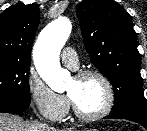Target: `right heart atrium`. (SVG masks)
<instances>
[{
  "label": "right heart atrium",
  "instance_id": "obj_1",
  "mask_svg": "<svg viewBox=\"0 0 147 131\" xmlns=\"http://www.w3.org/2000/svg\"><path fill=\"white\" fill-rule=\"evenodd\" d=\"M27 87L33 105L43 117L56 122L66 116L70 107L68 98L51 89L36 72L30 71Z\"/></svg>",
  "mask_w": 147,
  "mask_h": 131
}]
</instances>
